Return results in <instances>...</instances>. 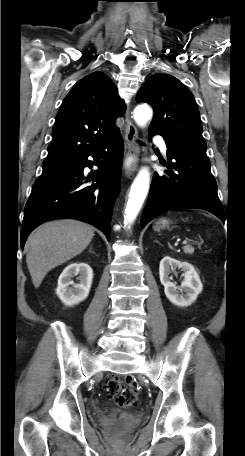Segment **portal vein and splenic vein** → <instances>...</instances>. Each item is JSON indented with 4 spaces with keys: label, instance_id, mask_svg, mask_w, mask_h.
Wrapping results in <instances>:
<instances>
[{
    "label": "portal vein and splenic vein",
    "instance_id": "1",
    "mask_svg": "<svg viewBox=\"0 0 245 456\" xmlns=\"http://www.w3.org/2000/svg\"><path fill=\"white\" fill-rule=\"evenodd\" d=\"M182 244L183 245L187 244V241L186 240L182 241Z\"/></svg>",
    "mask_w": 245,
    "mask_h": 456
}]
</instances>
